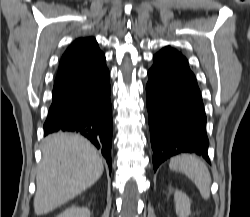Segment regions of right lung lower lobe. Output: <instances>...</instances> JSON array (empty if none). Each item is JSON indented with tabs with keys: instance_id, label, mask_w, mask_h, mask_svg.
I'll use <instances>...</instances> for the list:
<instances>
[{
	"instance_id": "right-lung-lower-lobe-1",
	"label": "right lung lower lobe",
	"mask_w": 250,
	"mask_h": 217,
	"mask_svg": "<svg viewBox=\"0 0 250 217\" xmlns=\"http://www.w3.org/2000/svg\"><path fill=\"white\" fill-rule=\"evenodd\" d=\"M104 54L86 69L55 82L44 135L77 132L100 150L111 169L112 107Z\"/></svg>"
}]
</instances>
